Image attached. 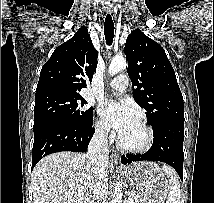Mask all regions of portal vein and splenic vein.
I'll list each match as a JSON object with an SVG mask.
<instances>
[{
    "label": "portal vein and splenic vein",
    "mask_w": 214,
    "mask_h": 203,
    "mask_svg": "<svg viewBox=\"0 0 214 203\" xmlns=\"http://www.w3.org/2000/svg\"><path fill=\"white\" fill-rule=\"evenodd\" d=\"M127 203H134V202H133V198H132L131 196L128 197Z\"/></svg>",
    "instance_id": "18ae733b"
}]
</instances>
